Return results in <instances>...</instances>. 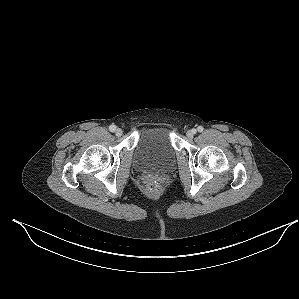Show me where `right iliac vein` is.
Here are the masks:
<instances>
[{
	"label": "right iliac vein",
	"instance_id": "obj_1",
	"mask_svg": "<svg viewBox=\"0 0 299 299\" xmlns=\"http://www.w3.org/2000/svg\"><path fill=\"white\" fill-rule=\"evenodd\" d=\"M122 133H123V131L120 128L116 129V131H115V134L117 137H120L122 135Z\"/></svg>",
	"mask_w": 299,
	"mask_h": 299
}]
</instances>
